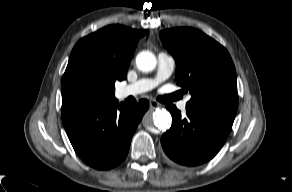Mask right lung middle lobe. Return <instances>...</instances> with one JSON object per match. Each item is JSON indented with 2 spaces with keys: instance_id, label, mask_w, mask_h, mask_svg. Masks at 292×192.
I'll list each match as a JSON object with an SVG mask.
<instances>
[{
  "instance_id": "dd1d6c3e",
  "label": "right lung middle lobe",
  "mask_w": 292,
  "mask_h": 192,
  "mask_svg": "<svg viewBox=\"0 0 292 192\" xmlns=\"http://www.w3.org/2000/svg\"><path fill=\"white\" fill-rule=\"evenodd\" d=\"M61 88L62 105H102L114 95V82L84 66H74L66 70Z\"/></svg>"
}]
</instances>
